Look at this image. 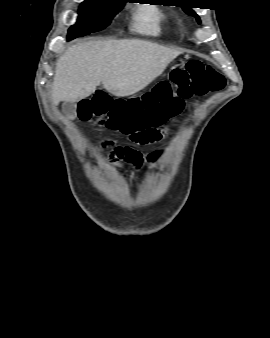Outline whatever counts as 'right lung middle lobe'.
<instances>
[{
  "instance_id": "obj_1",
  "label": "right lung middle lobe",
  "mask_w": 270,
  "mask_h": 338,
  "mask_svg": "<svg viewBox=\"0 0 270 338\" xmlns=\"http://www.w3.org/2000/svg\"><path fill=\"white\" fill-rule=\"evenodd\" d=\"M126 0H85L79 7V17L68 31V40L107 27L123 8Z\"/></svg>"
}]
</instances>
